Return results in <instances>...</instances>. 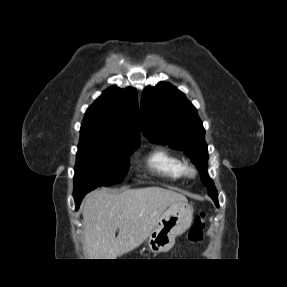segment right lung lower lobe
I'll return each mask as SVG.
<instances>
[{
    "label": "right lung lower lobe",
    "instance_id": "obj_1",
    "mask_svg": "<svg viewBox=\"0 0 287 287\" xmlns=\"http://www.w3.org/2000/svg\"><path fill=\"white\" fill-rule=\"evenodd\" d=\"M87 193H88V192H84V193H81L80 195L74 197V200H75V203H76V210L79 208L82 199L84 198V196H85Z\"/></svg>",
    "mask_w": 287,
    "mask_h": 287
}]
</instances>
